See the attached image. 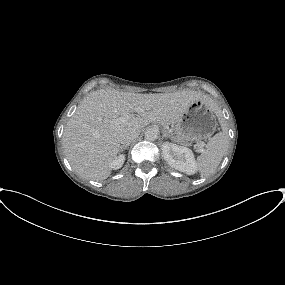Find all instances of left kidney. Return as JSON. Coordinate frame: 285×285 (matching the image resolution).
Segmentation results:
<instances>
[{"label":"left kidney","mask_w":285,"mask_h":285,"mask_svg":"<svg viewBox=\"0 0 285 285\" xmlns=\"http://www.w3.org/2000/svg\"><path fill=\"white\" fill-rule=\"evenodd\" d=\"M162 154L166 162L174 169L188 175L196 173L197 166L194 154L189 148L164 142L162 144Z\"/></svg>","instance_id":"obj_1"}]
</instances>
